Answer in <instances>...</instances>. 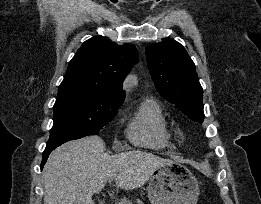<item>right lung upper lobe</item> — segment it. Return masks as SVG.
<instances>
[{"label":"right lung upper lobe","instance_id":"1","mask_svg":"<svg viewBox=\"0 0 261 204\" xmlns=\"http://www.w3.org/2000/svg\"><path fill=\"white\" fill-rule=\"evenodd\" d=\"M137 57L132 44L117 45L104 38H91L69 62L58 95L84 91L105 100L123 102L122 82Z\"/></svg>","mask_w":261,"mask_h":204}]
</instances>
